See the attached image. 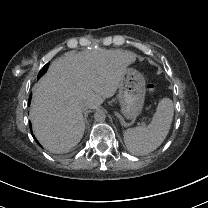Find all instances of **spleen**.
Wrapping results in <instances>:
<instances>
[{
	"label": "spleen",
	"mask_w": 208,
	"mask_h": 208,
	"mask_svg": "<svg viewBox=\"0 0 208 208\" xmlns=\"http://www.w3.org/2000/svg\"><path fill=\"white\" fill-rule=\"evenodd\" d=\"M174 106L169 98H163L154 114L151 123L127 129L124 142L127 149L135 155H146L156 150L165 140L173 120Z\"/></svg>",
	"instance_id": "3e777b00"
}]
</instances>
